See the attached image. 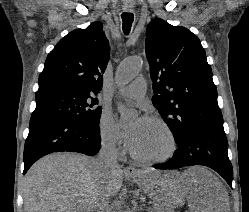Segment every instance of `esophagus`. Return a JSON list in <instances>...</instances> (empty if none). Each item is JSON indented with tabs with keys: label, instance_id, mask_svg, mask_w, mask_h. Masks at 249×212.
<instances>
[{
	"label": "esophagus",
	"instance_id": "esophagus-1",
	"mask_svg": "<svg viewBox=\"0 0 249 212\" xmlns=\"http://www.w3.org/2000/svg\"><path fill=\"white\" fill-rule=\"evenodd\" d=\"M126 12H131L132 9H125ZM125 173H128L129 175H140L141 173L139 171H137L135 169V167L133 165H128V167H126L124 169Z\"/></svg>",
	"mask_w": 249,
	"mask_h": 212
}]
</instances>
